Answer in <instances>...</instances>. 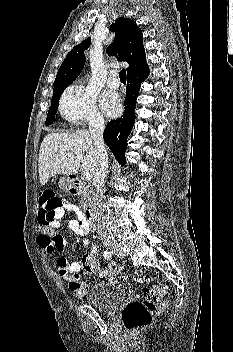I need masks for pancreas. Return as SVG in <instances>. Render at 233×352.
<instances>
[{"label":"pancreas","instance_id":"cf45deb5","mask_svg":"<svg viewBox=\"0 0 233 352\" xmlns=\"http://www.w3.org/2000/svg\"><path fill=\"white\" fill-rule=\"evenodd\" d=\"M81 200H80V207L84 210L90 205V195L87 191L82 190L81 191Z\"/></svg>","mask_w":233,"mask_h":352}]
</instances>
